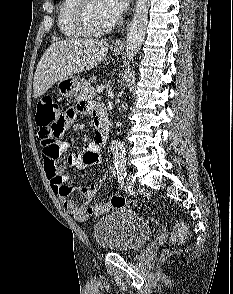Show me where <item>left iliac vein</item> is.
<instances>
[{
    "instance_id": "1",
    "label": "left iliac vein",
    "mask_w": 233,
    "mask_h": 294,
    "mask_svg": "<svg viewBox=\"0 0 233 294\" xmlns=\"http://www.w3.org/2000/svg\"><path fill=\"white\" fill-rule=\"evenodd\" d=\"M129 186L133 187L135 184H134V181L132 180L131 176H129ZM139 191H141V188L138 189Z\"/></svg>"
}]
</instances>
